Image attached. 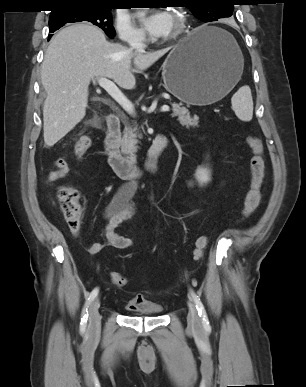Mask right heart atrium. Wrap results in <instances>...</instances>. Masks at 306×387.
<instances>
[{
    "instance_id": "d8ad5b80",
    "label": "right heart atrium",
    "mask_w": 306,
    "mask_h": 387,
    "mask_svg": "<svg viewBox=\"0 0 306 387\" xmlns=\"http://www.w3.org/2000/svg\"><path fill=\"white\" fill-rule=\"evenodd\" d=\"M115 27L119 38L128 44H138L145 39L144 33L137 28L127 15H118Z\"/></svg>"
}]
</instances>
